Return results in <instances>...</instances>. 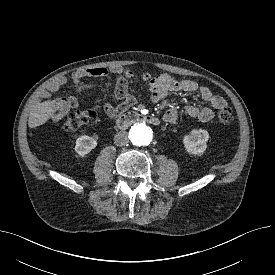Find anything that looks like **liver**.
I'll return each instance as SVG.
<instances>
[{
    "label": "liver",
    "instance_id": "obj_1",
    "mask_svg": "<svg viewBox=\"0 0 275 275\" xmlns=\"http://www.w3.org/2000/svg\"><path fill=\"white\" fill-rule=\"evenodd\" d=\"M62 103L56 100L40 103L29 115L28 125L30 128H36L46 123L54 113L61 108Z\"/></svg>",
    "mask_w": 275,
    "mask_h": 275
}]
</instances>
